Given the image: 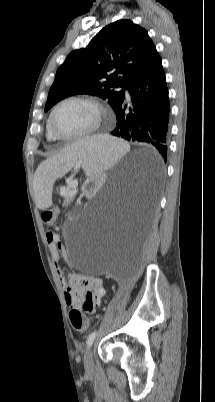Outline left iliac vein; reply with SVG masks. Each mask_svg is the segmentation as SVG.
Masks as SVG:
<instances>
[{
    "label": "left iliac vein",
    "instance_id": "obj_1",
    "mask_svg": "<svg viewBox=\"0 0 215 402\" xmlns=\"http://www.w3.org/2000/svg\"><path fill=\"white\" fill-rule=\"evenodd\" d=\"M84 364L87 370H91L93 367V352L92 348H88L84 357Z\"/></svg>",
    "mask_w": 215,
    "mask_h": 402
}]
</instances>
